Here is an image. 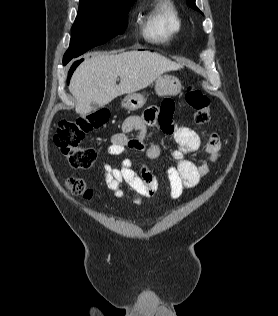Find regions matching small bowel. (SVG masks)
<instances>
[{
	"label": "small bowel",
	"mask_w": 278,
	"mask_h": 316,
	"mask_svg": "<svg viewBox=\"0 0 278 316\" xmlns=\"http://www.w3.org/2000/svg\"><path fill=\"white\" fill-rule=\"evenodd\" d=\"M174 104L170 99H165L161 106L148 107L142 116H129L122 123V131L112 135L107 153L118 156L128 150L143 152L146 159L155 160L161 155L158 144L145 143L148 126L159 123L163 130L171 134L177 144L172 153L174 164L167 165L170 196L178 199L185 189L198 185L200 180L209 174V162H216L221 153V140L217 133H210L205 140L192 128L176 126L172 123ZM135 132V135L131 133ZM209 156V159L193 161L186 156L198 151ZM103 177L106 186L118 198L125 195L121 184L125 183L132 192L133 202L142 203L144 197L153 196L158 189V180L144 165L139 171L134 170L133 161L124 158L117 165L106 161L102 162Z\"/></svg>",
	"instance_id": "small-bowel-1"
}]
</instances>
